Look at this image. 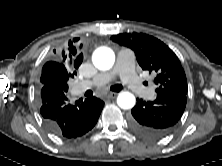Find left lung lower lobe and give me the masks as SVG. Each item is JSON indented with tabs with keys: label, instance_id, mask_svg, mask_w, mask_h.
<instances>
[{
	"label": "left lung lower lobe",
	"instance_id": "obj_1",
	"mask_svg": "<svg viewBox=\"0 0 222 166\" xmlns=\"http://www.w3.org/2000/svg\"><path fill=\"white\" fill-rule=\"evenodd\" d=\"M186 95V92L178 90H161L154 101L137 99L136 106L131 110L132 128L148 137L169 134L183 114Z\"/></svg>",
	"mask_w": 222,
	"mask_h": 166
}]
</instances>
